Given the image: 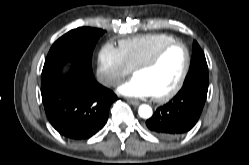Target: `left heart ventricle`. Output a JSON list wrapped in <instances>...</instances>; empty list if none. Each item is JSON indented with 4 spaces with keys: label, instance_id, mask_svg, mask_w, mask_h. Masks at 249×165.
Listing matches in <instances>:
<instances>
[{
    "label": "left heart ventricle",
    "instance_id": "left-heart-ventricle-1",
    "mask_svg": "<svg viewBox=\"0 0 249 165\" xmlns=\"http://www.w3.org/2000/svg\"><path fill=\"white\" fill-rule=\"evenodd\" d=\"M185 64V51L181 46L169 49L153 67L139 71L140 77L151 89L153 96L170 91L177 83Z\"/></svg>",
    "mask_w": 249,
    "mask_h": 165
}]
</instances>
